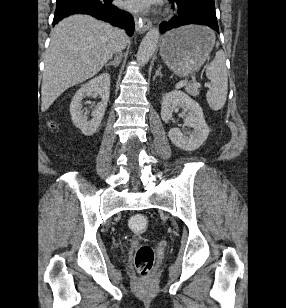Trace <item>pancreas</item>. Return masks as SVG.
Listing matches in <instances>:
<instances>
[{
	"label": "pancreas",
	"mask_w": 286,
	"mask_h": 308,
	"mask_svg": "<svg viewBox=\"0 0 286 308\" xmlns=\"http://www.w3.org/2000/svg\"><path fill=\"white\" fill-rule=\"evenodd\" d=\"M187 92L194 97H197L199 95L198 88L195 86L187 87Z\"/></svg>",
	"instance_id": "obj_1"
}]
</instances>
